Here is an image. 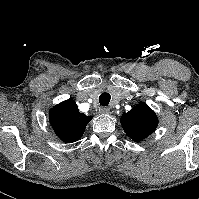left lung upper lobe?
Returning a JSON list of instances; mask_svg holds the SVG:
<instances>
[{
    "instance_id": "1",
    "label": "left lung upper lobe",
    "mask_w": 199,
    "mask_h": 199,
    "mask_svg": "<svg viewBox=\"0 0 199 199\" xmlns=\"http://www.w3.org/2000/svg\"><path fill=\"white\" fill-rule=\"evenodd\" d=\"M121 125L131 139L141 141L155 131L158 118L155 112L142 102L121 116Z\"/></svg>"
}]
</instances>
